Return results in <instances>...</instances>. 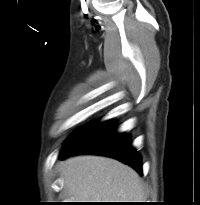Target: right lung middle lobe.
<instances>
[{
  "instance_id": "dd1d6c3e",
  "label": "right lung middle lobe",
  "mask_w": 200,
  "mask_h": 205,
  "mask_svg": "<svg viewBox=\"0 0 200 205\" xmlns=\"http://www.w3.org/2000/svg\"><path fill=\"white\" fill-rule=\"evenodd\" d=\"M78 133H79V132H77L76 134H74V135L66 142V144L69 143L72 139H74V138L78 135ZM66 144H65V145H66Z\"/></svg>"
}]
</instances>
